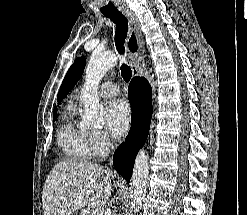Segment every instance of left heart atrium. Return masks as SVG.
Listing matches in <instances>:
<instances>
[{"label": "left heart atrium", "mask_w": 247, "mask_h": 215, "mask_svg": "<svg viewBox=\"0 0 247 215\" xmlns=\"http://www.w3.org/2000/svg\"><path fill=\"white\" fill-rule=\"evenodd\" d=\"M105 125L115 138L123 136L128 131L130 108L124 100H114L109 103L105 112Z\"/></svg>", "instance_id": "obj_1"}]
</instances>
